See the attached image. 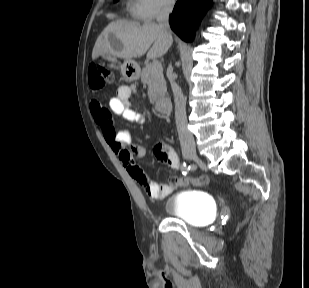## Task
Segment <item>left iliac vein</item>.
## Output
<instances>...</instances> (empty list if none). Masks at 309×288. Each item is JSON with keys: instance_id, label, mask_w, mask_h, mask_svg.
<instances>
[{"instance_id": "4c4485c4", "label": "left iliac vein", "mask_w": 309, "mask_h": 288, "mask_svg": "<svg viewBox=\"0 0 309 288\" xmlns=\"http://www.w3.org/2000/svg\"><path fill=\"white\" fill-rule=\"evenodd\" d=\"M194 157H195V155H193V156H188L187 158L193 159Z\"/></svg>"}]
</instances>
